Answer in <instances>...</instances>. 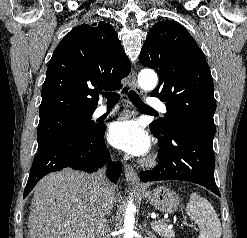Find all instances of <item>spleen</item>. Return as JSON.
Wrapping results in <instances>:
<instances>
[{
	"label": "spleen",
	"instance_id": "3e777b00",
	"mask_svg": "<svg viewBox=\"0 0 247 238\" xmlns=\"http://www.w3.org/2000/svg\"><path fill=\"white\" fill-rule=\"evenodd\" d=\"M186 213L199 227V238H220L222 234L219 217L212 204L197 193L190 195Z\"/></svg>",
	"mask_w": 247,
	"mask_h": 238
}]
</instances>
